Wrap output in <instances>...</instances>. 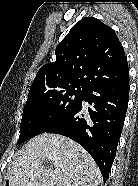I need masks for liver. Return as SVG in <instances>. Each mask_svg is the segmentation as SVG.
<instances>
[{
  "instance_id": "1",
  "label": "liver",
  "mask_w": 138,
  "mask_h": 186,
  "mask_svg": "<svg viewBox=\"0 0 138 186\" xmlns=\"http://www.w3.org/2000/svg\"><path fill=\"white\" fill-rule=\"evenodd\" d=\"M51 161L47 169L43 161ZM10 186H98L101 172L89 153L75 141L44 133L32 138L8 167Z\"/></svg>"
}]
</instances>
